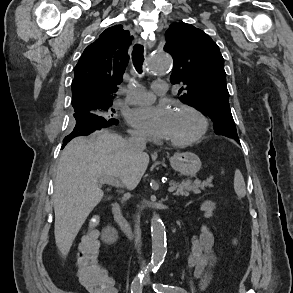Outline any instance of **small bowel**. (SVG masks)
<instances>
[{"instance_id":"1","label":"small bowel","mask_w":293,"mask_h":293,"mask_svg":"<svg viewBox=\"0 0 293 293\" xmlns=\"http://www.w3.org/2000/svg\"><path fill=\"white\" fill-rule=\"evenodd\" d=\"M214 209L215 204L210 200L203 202L201 205V210L206 218L212 217ZM191 245L187 266L200 279L201 290H205L211 282L215 260L213 254L214 236L207 225L202 224L199 234L192 236ZM109 280L114 290L113 293H117L113 279L109 277Z\"/></svg>"}]
</instances>
